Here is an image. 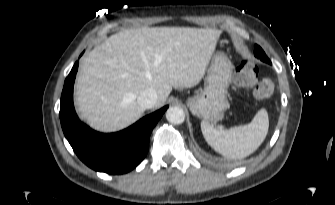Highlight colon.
<instances>
[{
  "mask_svg": "<svg viewBox=\"0 0 335 205\" xmlns=\"http://www.w3.org/2000/svg\"><path fill=\"white\" fill-rule=\"evenodd\" d=\"M235 83L260 99H269L274 96L275 86L272 80L262 79L258 81L257 66L249 61L241 63L234 74Z\"/></svg>",
  "mask_w": 335,
  "mask_h": 205,
  "instance_id": "colon-1",
  "label": "colon"
}]
</instances>
